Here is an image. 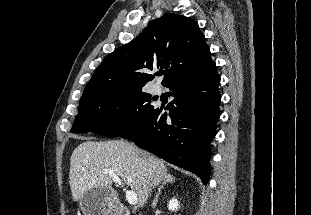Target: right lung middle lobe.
I'll return each instance as SVG.
<instances>
[{
  "label": "right lung middle lobe",
  "mask_w": 311,
  "mask_h": 215,
  "mask_svg": "<svg viewBox=\"0 0 311 215\" xmlns=\"http://www.w3.org/2000/svg\"><path fill=\"white\" fill-rule=\"evenodd\" d=\"M151 100V95L142 90L92 97L79 103L71 131L118 137L138 125L154 109Z\"/></svg>",
  "instance_id": "dd1d6c3e"
}]
</instances>
